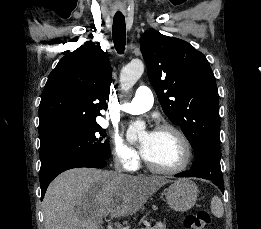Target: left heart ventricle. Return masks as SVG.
<instances>
[{
  "instance_id": "left-heart-ventricle-1",
  "label": "left heart ventricle",
  "mask_w": 261,
  "mask_h": 229,
  "mask_svg": "<svg viewBox=\"0 0 261 229\" xmlns=\"http://www.w3.org/2000/svg\"><path fill=\"white\" fill-rule=\"evenodd\" d=\"M148 139L144 153L146 159L158 167H174L182 158V148L176 136L167 131H154L149 137L144 135L142 141Z\"/></svg>"
}]
</instances>
